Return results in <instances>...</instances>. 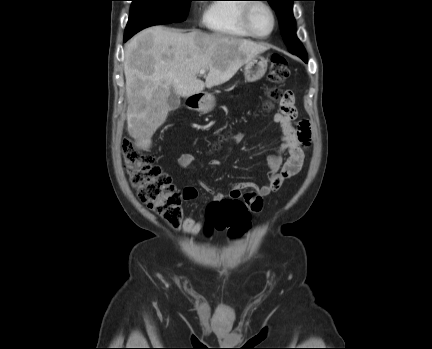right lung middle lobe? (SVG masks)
Segmentation results:
<instances>
[{
  "mask_svg": "<svg viewBox=\"0 0 432 349\" xmlns=\"http://www.w3.org/2000/svg\"><path fill=\"white\" fill-rule=\"evenodd\" d=\"M131 11L125 35L131 37L153 25L182 22L193 0H131Z\"/></svg>",
  "mask_w": 432,
  "mask_h": 349,
  "instance_id": "dd1d6c3e",
  "label": "right lung middle lobe"
}]
</instances>
